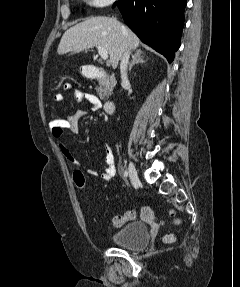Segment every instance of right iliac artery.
<instances>
[{"mask_svg":"<svg viewBox=\"0 0 240 287\" xmlns=\"http://www.w3.org/2000/svg\"><path fill=\"white\" fill-rule=\"evenodd\" d=\"M124 177H125V178L128 177V172H127V171L124 172Z\"/></svg>","mask_w":240,"mask_h":287,"instance_id":"obj_1","label":"right iliac artery"}]
</instances>
